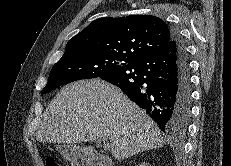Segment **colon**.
I'll return each mask as SVG.
<instances>
[{
  "mask_svg": "<svg viewBox=\"0 0 231 166\" xmlns=\"http://www.w3.org/2000/svg\"><path fill=\"white\" fill-rule=\"evenodd\" d=\"M46 166H59V164L53 157H48L46 159Z\"/></svg>",
  "mask_w": 231,
  "mask_h": 166,
  "instance_id": "5ec220e1",
  "label": "colon"
}]
</instances>
